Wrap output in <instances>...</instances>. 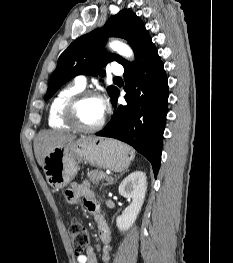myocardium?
<instances>
[{
  "instance_id": "obj_1",
  "label": "myocardium",
  "mask_w": 233,
  "mask_h": 263,
  "mask_svg": "<svg viewBox=\"0 0 233 263\" xmlns=\"http://www.w3.org/2000/svg\"><path fill=\"white\" fill-rule=\"evenodd\" d=\"M88 98H96L102 100V96L91 90H82L71 96L66 102L63 110L64 120L77 131L84 133H94L102 129L105 123V115L103 114L101 120L92 127L83 126L77 116V109L79 105Z\"/></svg>"
}]
</instances>
